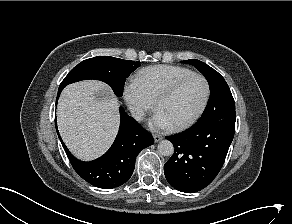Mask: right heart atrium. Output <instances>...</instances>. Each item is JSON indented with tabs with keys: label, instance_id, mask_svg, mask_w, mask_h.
<instances>
[{
	"label": "right heart atrium",
	"instance_id": "d8ad5b80",
	"mask_svg": "<svg viewBox=\"0 0 292 224\" xmlns=\"http://www.w3.org/2000/svg\"><path fill=\"white\" fill-rule=\"evenodd\" d=\"M124 99L131 114L138 120L143 119L154 107V101L135 80L125 85Z\"/></svg>",
	"mask_w": 292,
	"mask_h": 224
}]
</instances>
